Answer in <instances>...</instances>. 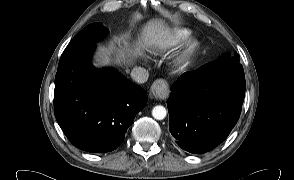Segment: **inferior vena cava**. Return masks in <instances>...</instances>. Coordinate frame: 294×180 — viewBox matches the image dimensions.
Listing matches in <instances>:
<instances>
[{"label":"inferior vena cava","mask_w":294,"mask_h":180,"mask_svg":"<svg viewBox=\"0 0 294 180\" xmlns=\"http://www.w3.org/2000/svg\"><path fill=\"white\" fill-rule=\"evenodd\" d=\"M131 77L137 83H145L148 80L149 72L142 67H134L131 71Z\"/></svg>","instance_id":"inferior-vena-cava-1"}]
</instances>
